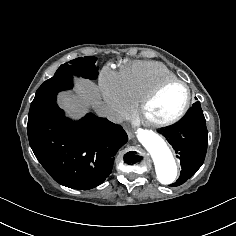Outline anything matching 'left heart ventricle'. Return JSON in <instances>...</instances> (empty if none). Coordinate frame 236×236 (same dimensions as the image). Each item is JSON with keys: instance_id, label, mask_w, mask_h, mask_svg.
<instances>
[{"instance_id": "1", "label": "left heart ventricle", "mask_w": 236, "mask_h": 236, "mask_svg": "<svg viewBox=\"0 0 236 236\" xmlns=\"http://www.w3.org/2000/svg\"><path fill=\"white\" fill-rule=\"evenodd\" d=\"M185 101V88L179 84L170 85L150 104L146 117L157 122L169 120L180 112Z\"/></svg>"}]
</instances>
